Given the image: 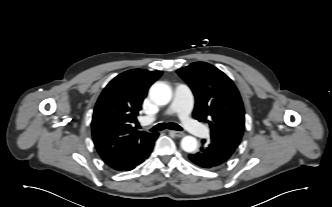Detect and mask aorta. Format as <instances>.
I'll return each instance as SVG.
<instances>
[{
    "mask_svg": "<svg viewBox=\"0 0 332 207\" xmlns=\"http://www.w3.org/2000/svg\"><path fill=\"white\" fill-rule=\"evenodd\" d=\"M149 96L153 102L158 105H166L172 98L171 88L164 82L154 83L150 90ZM198 142L192 136H185L181 140V148L188 153H192L197 149Z\"/></svg>",
    "mask_w": 332,
    "mask_h": 207,
    "instance_id": "762f6f07",
    "label": "aorta"
}]
</instances>
